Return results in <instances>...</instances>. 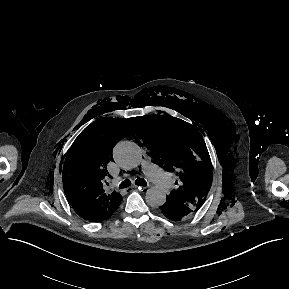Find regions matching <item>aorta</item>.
<instances>
[{"label": "aorta", "mask_w": 289, "mask_h": 289, "mask_svg": "<svg viewBox=\"0 0 289 289\" xmlns=\"http://www.w3.org/2000/svg\"><path fill=\"white\" fill-rule=\"evenodd\" d=\"M115 161L123 168L137 167L142 159L140 147L131 141L119 142L113 150ZM146 202L151 207L158 208L166 202V193L158 187H151L146 191Z\"/></svg>", "instance_id": "762f6f07"}]
</instances>
